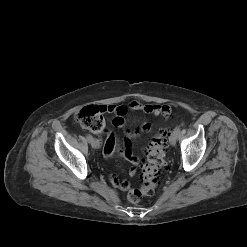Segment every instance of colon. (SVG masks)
Returning <instances> with one entry per match:
<instances>
[{
    "instance_id": "colon-1",
    "label": "colon",
    "mask_w": 247,
    "mask_h": 247,
    "mask_svg": "<svg viewBox=\"0 0 247 247\" xmlns=\"http://www.w3.org/2000/svg\"><path fill=\"white\" fill-rule=\"evenodd\" d=\"M104 106L89 105L82 108L75 115V120L85 129L92 132H101L105 126L103 114ZM167 133L161 130L151 140L147 148V158L142 167L143 185L140 189L130 190L127 198L132 203H137L143 195H152L159 182V175L165 168V143Z\"/></svg>"
}]
</instances>
